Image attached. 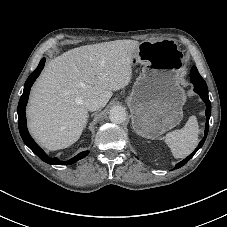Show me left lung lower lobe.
Here are the masks:
<instances>
[{"label":"left lung lower lobe","instance_id":"obj_1","mask_svg":"<svg viewBox=\"0 0 227 227\" xmlns=\"http://www.w3.org/2000/svg\"><path fill=\"white\" fill-rule=\"evenodd\" d=\"M191 82L194 84V91L200 95V97L202 98V100L206 104L205 135H204L203 139L200 141L198 147L194 150V152L191 155H189L187 158H185L184 160H182L181 162L176 164V166H175L176 169L184 166L194 156V154L199 150V148L202 147V145L204 144V142L206 140L208 130H209V118H210V115H211V103L209 101L207 85L200 83L199 81H197L196 78L191 79Z\"/></svg>","mask_w":227,"mask_h":227}]
</instances>
